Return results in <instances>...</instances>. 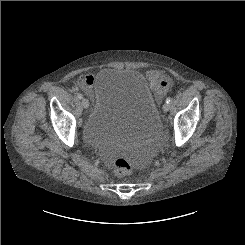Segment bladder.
<instances>
[{"mask_svg": "<svg viewBox=\"0 0 245 245\" xmlns=\"http://www.w3.org/2000/svg\"><path fill=\"white\" fill-rule=\"evenodd\" d=\"M158 105L145 77L136 69L107 67L94 80V101L81 128L89 145H135L161 126Z\"/></svg>", "mask_w": 245, "mask_h": 245, "instance_id": "bladder-1", "label": "bladder"}]
</instances>
